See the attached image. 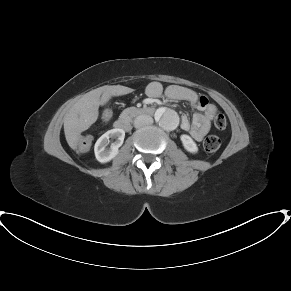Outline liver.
<instances>
[{"instance_id": "1", "label": "liver", "mask_w": 291, "mask_h": 291, "mask_svg": "<svg viewBox=\"0 0 291 291\" xmlns=\"http://www.w3.org/2000/svg\"><path fill=\"white\" fill-rule=\"evenodd\" d=\"M132 91L121 85L103 86L80 98L64 117V132L69 146L77 148L80 134L98 119L99 106L105 105L113 96L126 95Z\"/></svg>"}]
</instances>
